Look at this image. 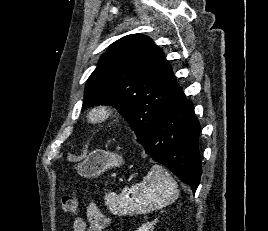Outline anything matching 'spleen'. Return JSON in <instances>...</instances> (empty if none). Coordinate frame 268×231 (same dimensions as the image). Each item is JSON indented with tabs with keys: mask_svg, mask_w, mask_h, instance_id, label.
<instances>
[{
	"mask_svg": "<svg viewBox=\"0 0 268 231\" xmlns=\"http://www.w3.org/2000/svg\"><path fill=\"white\" fill-rule=\"evenodd\" d=\"M179 196L178 185L162 166L154 164L143 181L132 186L131 197L114 192L104 197L113 214H146L172 204Z\"/></svg>",
	"mask_w": 268,
	"mask_h": 231,
	"instance_id": "1",
	"label": "spleen"
}]
</instances>
